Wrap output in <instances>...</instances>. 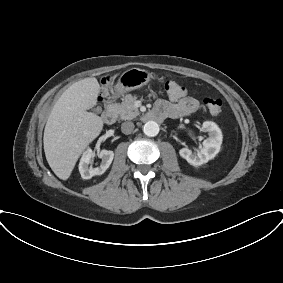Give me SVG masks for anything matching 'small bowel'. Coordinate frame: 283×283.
Listing matches in <instances>:
<instances>
[{
    "mask_svg": "<svg viewBox=\"0 0 283 283\" xmlns=\"http://www.w3.org/2000/svg\"><path fill=\"white\" fill-rule=\"evenodd\" d=\"M170 100H159L154 110L157 112H167L169 117H182L193 114L199 108L198 100L189 95H184L178 99L170 98Z\"/></svg>",
    "mask_w": 283,
    "mask_h": 283,
    "instance_id": "small-bowel-1",
    "label": "small bowel"
}]
</instances>
